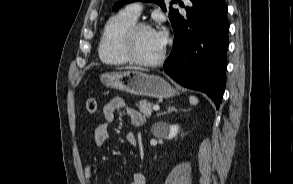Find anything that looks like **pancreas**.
<instances>
[{
    "mask_svg": "<svg viewBox=\"0 0 293 184\" xmlns=\"http://www.w3.org/2000/svg\"><path fill=\"white\" fill-rule=\"evenodd\" d=\"M139 111L146 117L152 113L153 103L147 100H141L138 105Z\"/></svg>",
    "mask_w": 293,
    "mask_h": 184,
    "instance_id": "obj_1",
    "label": "pancreas"
}]
</instances>
